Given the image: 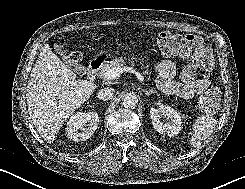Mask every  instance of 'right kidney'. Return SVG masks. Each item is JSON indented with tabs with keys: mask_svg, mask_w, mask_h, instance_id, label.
<instances>
[{
	"mask_svg": "<svg viewBox=\"0 0 245 189\" xmlns=\"http://www.w3.org/2000/svg\"><path fill=\"white\" fill-rule=\"evenodd\" d=\"M89 123V128H84ZM99 118L96 112H78L67 122V137L75 142L89 139L98 127ZM80 130V131H79Z\"/></svg>",
	"mask_w": 245,
	"mask_h": 189,
	"instance_id": "obj_1",
	"label": "right kidney"
}]
</instances>
